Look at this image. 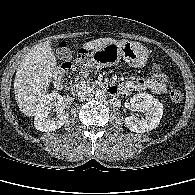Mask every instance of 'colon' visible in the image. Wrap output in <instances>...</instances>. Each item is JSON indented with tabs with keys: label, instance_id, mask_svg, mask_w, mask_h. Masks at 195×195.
I'll return each instance as SVG.
<instances>
[{
	"label": "colon",
	"instance_id": "1",
	"mask_svg": "<svg viewBox=\"0 0 195 195\" xmlns=\"http://www.w3.org/2000/svg\"><path fill=\"white\" fill-rule=\"evenodd\" d=\"M87 67L88 55L83 52L76 61L65 63L55 71L54 82L59 87L73 86L86 74ZM153 77L159 81L167 80L159 59H155L153 62ZM170 98L174 102H180L183 99V93L178 89H173L170 92Z\"/></svg>",
	"mask_w": 195,
	"mask_h": 195
}]
</instances>
